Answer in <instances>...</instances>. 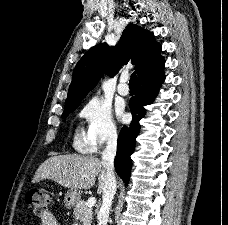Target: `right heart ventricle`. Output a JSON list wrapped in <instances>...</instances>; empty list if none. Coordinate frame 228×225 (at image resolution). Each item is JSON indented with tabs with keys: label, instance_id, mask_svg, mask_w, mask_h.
Masks as SVG:
<instances>
[{
	"label": "right heart ventricle",
	"instance_id": "e07e8e85",
	"mask_svg": "<svg viewBox=\"0 0 228 225\" xmlns=\"http://www.w3.org/2000/svg\"><path fill=\"white\" fill-rule=\"evenodd\" d=\"M73 146L80 152L90 153L94 151L92 144L81 134L76 132L73 137Z\"/></svg>",
	"mask_w": 228,
	"mask_h": 225
}]
</instances>
